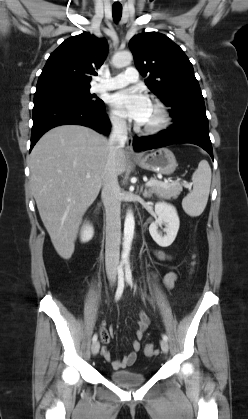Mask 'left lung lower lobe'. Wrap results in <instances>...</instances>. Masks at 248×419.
<instances>
[{"label":"left lung lower lobe","mask_w":248,"mask_h":419,"mask_svg":"<svg viewBox=\"0 0 248 419\" xmlns=\"http://www.w3.org/2000/svg\"><path fill=\"white\" fill-rule=\"evenodd\" d=\"M174 124L157 135L135 138V151L160 148L170 144L192 143L206 150L213 159L208 119L204 108H192L174 117Z\"/></svg>","instance_id":"0a47b994"}]
</instances>
